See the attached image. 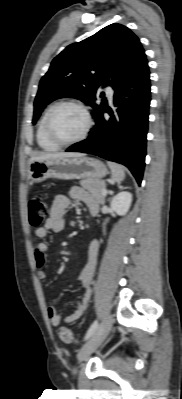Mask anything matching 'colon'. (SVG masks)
<instances>
[{"label":"colon","mask_w":182,"mask_h":399,"mask_svg":"<svg viewBox=\"0 0 182 399\" xmlns=\"http://www.w3.org/2000/svg\"><path fill=\"white\" fill-rule=\"evenodd\" d=\"M29 223L32 227H40L47 219L49 214L48 205L44 198L40 195H35L30 198L28 203ZM58 336L65 344H75L76 339L72 331L67 327L58 328Z\"/></svg>","instance_id":"1"}]
</instances>
